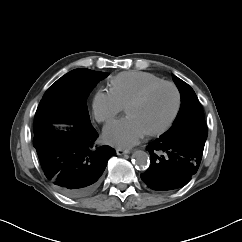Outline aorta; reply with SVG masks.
<instances>
[{"label":"aorta","instance_id":"762f6f07","mask_svg":"<svg viewBox=\"0 0 242 242\" xmlns=\"http://www.w3.org/2000/svg\"><path fill=\"white\" fill-rule=\"evenodd\" d=\"M133 161L134 163L138 166V167H146L150 160H149V155L141 150H137L133 153L132 155Z\"/></svg>","mask_w":242,"mask_h":242}]
</instances>
